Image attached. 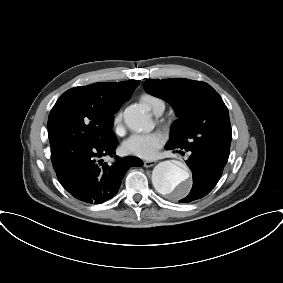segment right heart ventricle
<instances>
[{"mask_svg":"<svg viewBox=\"0 0 283 283\" xmlns=\"http://www.w3.org/2000/svg\"><path fill=\"white\" fill-rule=\"evenodd\" d=\"M140 101L146 104L155 113L163 111L165 108L164 100L150 93H143L140 96Z\"/></svg>","mask_w":283,"mask_h":283,"instance_id":"1","label":"right heart ventricle"}]
</instances>
